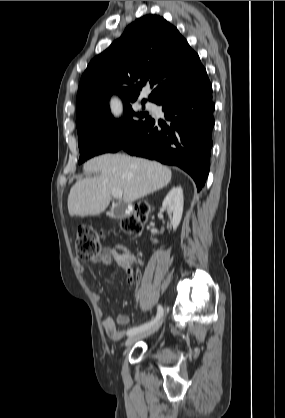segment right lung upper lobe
I'll return each mask as SVG.
<instances>
[{"label":"right lung upper lobe","mask_w":285,"mask_h":418,"mask_svg":"<svg viewBox=\"0 0 285 418\" xmlns=\"http://www.w3.org/2000/svg\"><path fill=\"white\" fill-rule=\"evenodd\" d=\"M203 70L199 56L173 25L158 15L143 16L89 63L78 88L76 125L109 110L114 93L125 105L149 82L153 90L148 100L157 103Z\"/></svg>","instance_id":"right-lung-upper-lobe-1"}]
</instances>
